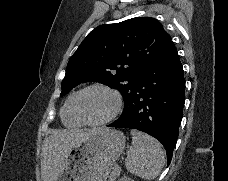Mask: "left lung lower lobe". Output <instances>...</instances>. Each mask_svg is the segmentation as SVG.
<instances>
[{
    "label": "left lung lower lobe",
    "instance_id": "0a47b994",
    "mask_svg": "<svg viewBox=\"0 0 228 181\" xmlns=\"http://www.w3.org/2000/svg\"><path fill=\"white\" fill-rule=\"evenodd\" d=\"M184 102L183 68L170 40L138 74L122 115L108 126L133 128L155 137L164 146L170 164Z\"/></svg>",
    "mask_w": 228,
    "mask_h": 181
}]
</instances>
